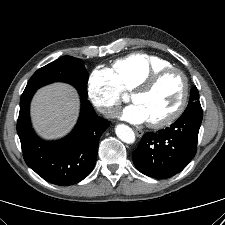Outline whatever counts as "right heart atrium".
Instances as JSON below:
<instances>
[{
  "label": "right heart atrium",
  "mask_w": 225,
  "mask_h": 225,
  "mask_svg": "<svg viewBox=\"0 0 225 225\" xmlns=\"http://www.w3.org/2000/svg\"><path fill=\"white\" fill-rule=\"evenodd\" d=\"M92 103L106 116L113 117L122 100L123 90L109 69H95L88 80Z\"/></svg>",
  "instance_id": "d8ad5b80"
}]
</instances>
